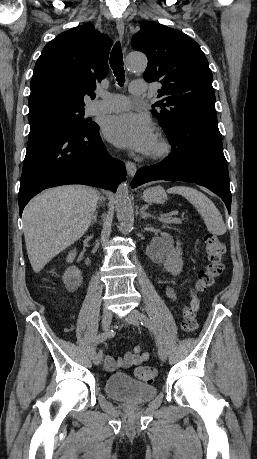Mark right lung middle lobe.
<instances>
[{
  "mask_svg": "<svg viewBox=\"0 0 257 459\" xmlns=\"http://www.w3.org/2000/svg\"><path fill=\"white\" fill-rule=\"evenodd\" d=\"M46 121L68 129L85 130L95 126L84 119L83 107H49L29 112V122Z\"/></svg>",
  "mask_w": 257,
  "mask_h": 459,
  "instance_id": "obj_1",
  "label": "right lung middle lobe"
}]
</instances>
